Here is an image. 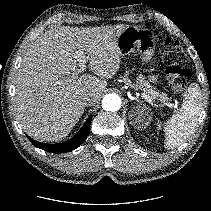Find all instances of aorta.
<instances>
[{
    "instance_id": "obj_1",
    "label": "aorta",
    "mask_w": 211,
    "mask_h": 211,
    "mask_svg": "<svg viewBox=\"0 0 211 211\" xmlns=\"http://www.w3.org/2000/svg\"><path fill=\"white\" fill-rule=\"evenodd\" d=\"M102 107L106 111L115 112L121 107V99L117 94L111 93L104 96L102 100Z\"/></svg>"
}]
</instances>
